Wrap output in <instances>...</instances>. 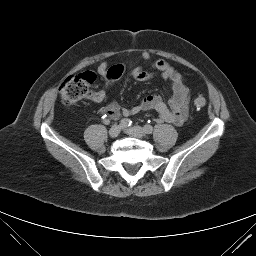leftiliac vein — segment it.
Instances as JSON below:
<instances>
[{"mask_svg":"<svg viewBox=\"0 0 256 256\" xmlns=\"http://www.w3.org/2000/svg\"><path fill=\"white\" fill-rule=\"evenodd\" d=\"M126 133L136 137V138H143L145 137V132L143 130V128H141L140 126H134L128 129H125Z\"/></svg>","mask_w":256,"mask_h":256,"instance_id":"1","label":"left iliac vein"}]
</instances>
